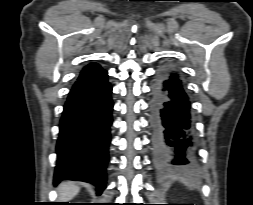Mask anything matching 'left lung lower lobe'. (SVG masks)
<instances>
[{
	"label": "left lung lower lobe",
	"mask_w": 253,
	"mask_h": 205,
	"mask_svg": "<svg viewBox=\"0 0 253 205\" xmlns=\"http://www.w3.org/2000/svg\"><path fill=\"white\" fill-rule=\"evenodd\" d=\"M153 148L160 166H193L190 104L176 73L164 72L150 104Z\"/></svg>",
	"instance_id": "0a47b994"
}]
</instances>
